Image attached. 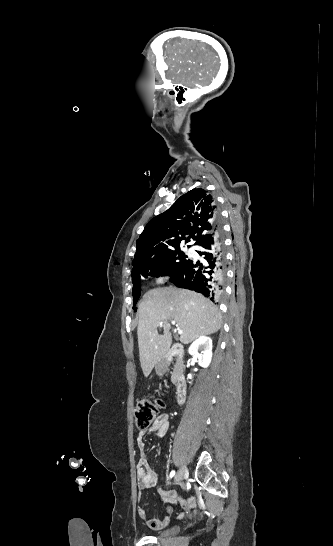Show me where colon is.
<instances>
[{
    "instance_id": "obj_1",
    "label": "colon",
    "mask_w": 333,
    "mask_h": 546,
    "mask_svg": "<svg viewBox=\"0 0 333 546\" xmlns=\"http://www.w3.org/2000/svg\"><path fill=\"white\" fill-rule=\"evenodd\" d=\"M163 402L156 400H140L134 409L135 425L139 430L147 429L158 417Z\"/></svg>"
}]
</instances>
